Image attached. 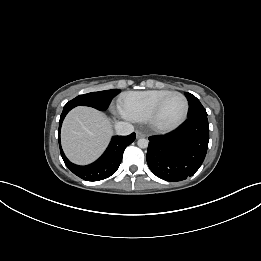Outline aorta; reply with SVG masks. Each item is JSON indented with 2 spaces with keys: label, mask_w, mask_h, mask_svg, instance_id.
Segmentation results:
<instances>
[{
  "label": "aorta",
  "mask_w": 261,
  "mask_h": 261,
  "mask_svg": "<svg viewBox=\"0 0 261 261\" xmlns=\"http://www.w3.org/2000/svg\"><path fill=\"white\" fill-rule=\"evenodd\" d=\"M137 145L140 148H147L148 147V140L145 139V138H141V139L138 140Z\"/></svg>",
  "instance_id": "762f6f07"
}]
</instances>
